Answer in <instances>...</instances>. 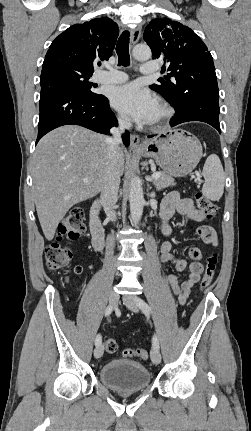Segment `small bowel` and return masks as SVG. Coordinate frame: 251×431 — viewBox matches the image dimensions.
<instances>
[{
    "label": "small bowel",
    "mask_w": 251,
    "mask_h": 431,
    "mask_svg": "<svg viewBox=\"0 0 251 431\" xmlns=\"http://www.w3.org/2000/svg\"><path fill=\"white\" fill-rule=\"evenodd\" d=\"M179 214L192 222H205L206 216L198 210L191 199L181 198L178 192H171L168 194L161 204L160 215L162 218V233L169 237L172 233V228L169 224L170 219ZM197 234L206 244L217 246L218 237L215 228L208 224H202L197 228ZM161 262L172 264L177 271H183L187 264L183 259L175 256L172 250L170 241H164L160 247ZM189 257L192 260L188 265V275L185 279L180 281L176 275L168 276V283L171 291L177 296L179 304L186 303L191 289L199 281L203 272V258L202 251L198 247H192L189 250Z\"/></svg>",
    "instance_id": "small-bowel-1"
}]
</instances>
